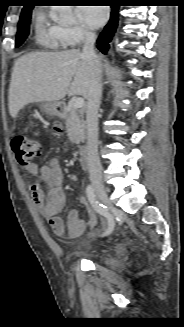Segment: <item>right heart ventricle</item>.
Returning a JSON list of instances; mask_svg holds the SVG:
<instances>
[{"label":"right heart ventricle","instance_id":"obj_1","mask_svg":"<svg viewBox=\"0 0 184 327\" xmlns=\"http://www.w3.org/2000/svg\"><path fill=\"white\" fill-rule=\"evenodd\" d=\"M64 27L44 11H39L34 20L35 39L43 47L58 49L65 46L62 38Z\"/></svg>","mask_w":184,"mask_h":327}]
</instances>
